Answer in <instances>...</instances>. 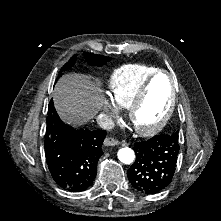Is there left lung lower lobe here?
Here are the masks:
<instances>
[{
	"instance_id": "obj_1",
	"label": "left lung lower lobe",
	"mask_w": 221,
	"mask_h": 221,
	"mask_svg": "<svg viewBox=\"0 0 221 221\" xmlns=\"http://www.w3.org/2000/svg\"><path fill=\"white\" fill-rule=\"evenodd\" d=\"M134 146L136 160L127 171L131 185L143 194L159 193L173 178L180 149L178 137L156 135Z\"/></svg>"
}]
</instances>
